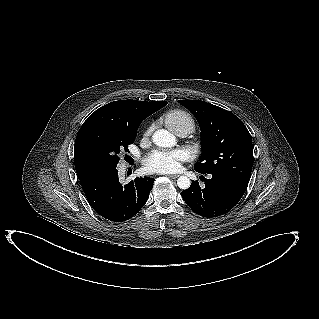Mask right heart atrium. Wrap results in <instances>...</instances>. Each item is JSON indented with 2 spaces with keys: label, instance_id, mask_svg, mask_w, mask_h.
Masks as SVG:
<instances>
[{
  "label": "right heart atrium",
  "instance_id": "right-heart-atrium-1",
  "mask_svg": "<svg viewBox=\"0 0 319 319\" xmlns=\"http://www.w3.org/2000/svg\"><path fill=\"white\" fill-rule=\"evenodd\" d=\"M150 133V128H148L146 131H145V135H148Z\"/></svg>",
  "mask_w": 319,
  "mask_h": 319
}]
</instances>
